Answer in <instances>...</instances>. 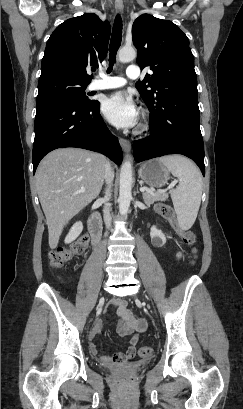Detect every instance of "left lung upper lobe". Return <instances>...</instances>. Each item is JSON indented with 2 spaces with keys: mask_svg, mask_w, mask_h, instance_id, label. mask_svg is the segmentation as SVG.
<instances>
[{
  "mask_svg": "<svg viewBox=\"0 0 243 409\" xmlns=\"http://www.w3.org/2000/svg\"><path fill=\"white\" fill-rule=\"evenodd\" d=\"M132 39L140 68L150 67L153 71L136 83L149 109L177 91L197 90L189 40L174 23L142 14L133 23Z\"/></svg>",
  "mask_w": 243,
  "mask_h": 409,
  "instance_id": "obj_1",
  "label": "left lung upper lobe"
}]
</instances>
